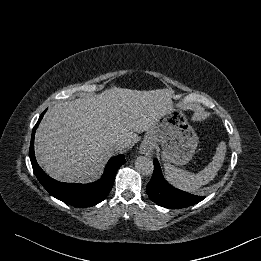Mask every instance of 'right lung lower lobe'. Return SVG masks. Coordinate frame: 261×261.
Instances as JSON below:
<instances>
[{"label":"right lung lower lobe","mask_w":261,"mask_h":261,"mask_svg":"<svg viewBox=\"0 0 261 261\" xmlns=\"http://www.w3.org/2000/svg\"><path fill=\"white\" fill-rule=\"evenodd\" d=\"M45 112L46 110L41 114L38 122L36 123L32 131L29 149V155L33 171L36 177L38 178L39 182L49 192V194L73 206L91 207L100 203L109 194L113 186L117 170L122 164L126 162L124 155L120 154L111 158L105 167V172L103 176L97 182L90 184H72L62 183L52 179L39 167L34 154L35 131L41 119L43 118Z\"/></svg>","instance_id":"right-lung-lower-lobe-1"}]
</instances>
